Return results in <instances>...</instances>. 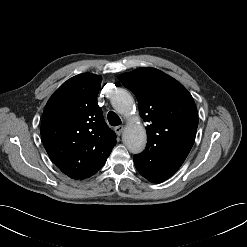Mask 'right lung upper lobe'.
<instances>
[{"label":"right lung upper lobe","instance_id":"obj_1","mask_svg":"<svg viewBox=\"0 0 247 247\" xmlns=\"http://www.w3.org/2000/svg\"><path fill=\"white\" fill-rule=\"evenodd\" d=\"M101 77L79 74L49 99L43 112L41 137L54 164L73 179L103 166L116 144L97 103Z\"/></svg>","mask_w":247,"mask_h":247}]
</instances>
